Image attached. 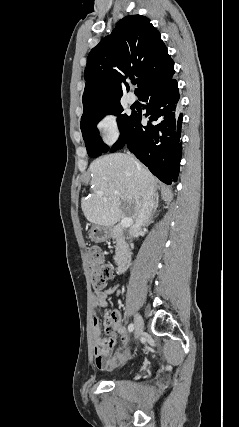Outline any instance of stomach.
<instances>
[{"instance_id": "1", "label": "stomach", "mask_w": 239, "mask_h": 427, "mask_svg": "<svg viewBox=\"0 0 239 427\" xmlns=\"http://www.w3.org/2000/svg\"><path fill=\"white\" fill-rule=\"evenodd\" d=\"M112 235V231L109 227L101 225H93L89 231V237L91 241L95 243L104 242L109 239Z\"/></svg>"}]
</instances>
